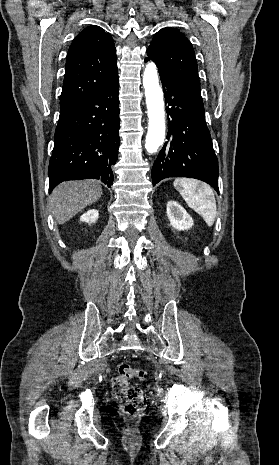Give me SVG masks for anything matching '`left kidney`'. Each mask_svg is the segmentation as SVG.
<instances>
[{
  "label": "left kidney",
  "mask_w": 279,
  "mask_h": 465,
  "mask_svg": "<svg viewBox=\"0 0 279 465\" xmlns=\"http://www.w3.org/2000/svg\"><path fill=\"white\" fill-rule=\"evenodd\" d=\"M167 216L171 226L178 231L188 230L194 224L192 217L176 201H168Z\"/></svg>",
  "instance_id": "left-kidney-1"
}]
</instances>
